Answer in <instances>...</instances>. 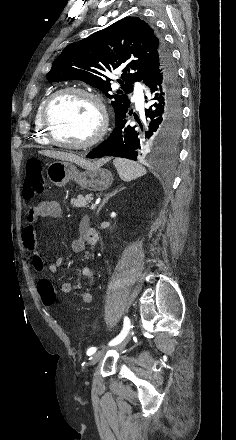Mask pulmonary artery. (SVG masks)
Returning <instances> with one entry per match:
<instances>
[{"label": "pulmonary artery", "mask_w": 236, "mask_h": 440, "mask_svg": "<svg viewBox=\"0 0 236 440\" xmlns=\"http://www.w3.org/2000/svg\"><path fill=\"white\" fill-rule=\"evenodd\" d=\"M143 86L141 85V83H137L136 87H135V94H134V100L137 103L138 106L142 105L143 102V98H142V93H143Z\"/></svg>", "instance_id": "obj_1"}]
</instances>
